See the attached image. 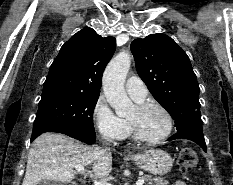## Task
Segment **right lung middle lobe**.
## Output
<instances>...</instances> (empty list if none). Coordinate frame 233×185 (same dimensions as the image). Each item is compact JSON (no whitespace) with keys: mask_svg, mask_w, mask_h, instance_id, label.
<instances>
[{"mask_svg":"<svg viewBox=\"0 0 233 185\" xmlns=\"http://www.w3.org/2000/svg\"><path fill=\"white\" fill-rule=\"evenodd\" d=\"M98 97L61 90L42 92L31 141L47 131L95 135L93 111Z\"/></svg>","mask_w":233,"mask_h":185,"instance_id":"1","label":"right lung middle lobe"}]
</instances>
